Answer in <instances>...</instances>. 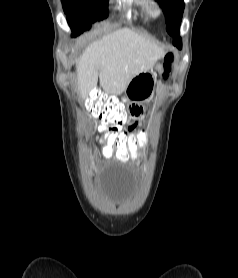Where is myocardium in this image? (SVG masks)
Masks as SVG:
<instances>
[{"instance_id": "f54148a6", "label": "myocardium", "mask_w": 238, "mask_h": 278, "mask_svg": "<svg viewBox=\"0 0 238 278\" xmlns=\"http://www.w3.org/2000/svg\"><path fill=\"white\" fill-rule=\"evenodd\" d=\"M150 12H151L153 17L157 18V17H160L163 14V9H162V7L160 6L159 3L153 2L150 5Z\"/></svg>"}]
</instances>
